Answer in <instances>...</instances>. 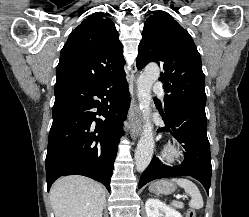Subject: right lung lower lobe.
Returning <instances> with one entry per match:
<instances>
[{
	"label": "right lung lower lobe",
	"instance_id": "98d812e1",
	"mask_svg": "<svg viewBox=\"0 0 249 217\" xmlns=\"http://www.w3.org/2000/svg\"><path fill=\"white\" fill-rule=\"evenodd\" d=\"M129 105L125 74L95 85L55 87L46 156L48 191L57 178L72 174L99 181L110 191Z\"/></svg>",
	"mask_w": 249,
	"mask_h": 217
}]
</instances>
